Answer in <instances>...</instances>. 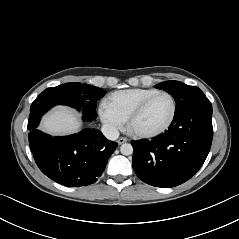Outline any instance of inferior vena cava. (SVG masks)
<instances>
[{
	"instance_id": "obj_1",
	"label": "inferior vena cava",
	"mask_w": 239,
	"mask_h": 239,
	"mask_svg": "<svg viewBox=\"0 0 239 239\" xmlns=\"http://www.w3.org/2000/svg\"><path fill=\"white\" fill-rule=\"evenodd\" d=\"M101 131L108 140L114 141L119 137V131L117 128L110 124H104Z\"/></svg>"
}]
</instances>
